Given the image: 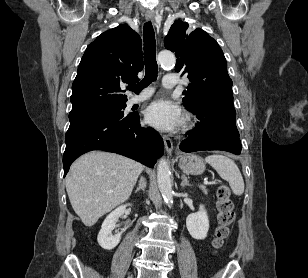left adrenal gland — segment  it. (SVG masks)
Segmentation results:
<instances>
[{"instance_id":"1","label":"left adrenal gland","mask_w":308,"mask_h":278,"mask_svg":"<svg viewBox=\"0 0 308 278\" xmlns=\"http://www.w3.org/2000/svg\"><path fill=\"white\" fill-rule=\"evenodd\" d=\"M182 182H181V187L184 188L185 186L191 187L192 185L189 183L187 177L185 175L181 176Z\"/></svg>"}]
</instances>
